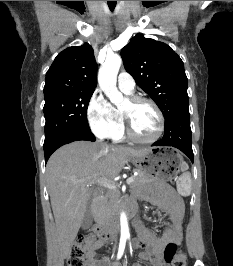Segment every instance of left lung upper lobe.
Here are the masks:
<instances>
[{"instance_id": "left-lung-upper-lobe-1", "label": "left lung upper lobe", "mask_w": 233, "mask_h": 266, "mask_svg": "<svg viewBox=\"0 0 233 266\" xmlns=\"http://www.w3.org/2000/svg\"><path fill=\"white\" fill-rule=\"evenodd\" d=\"M121 56L126 71L162 111L165 124L188 108L184 64L170 46L138 34L122 49Z\"/></svg>"}]
</instances>
